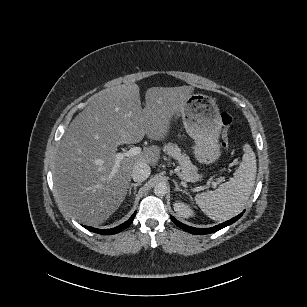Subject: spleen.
<instances>
[{
	"label": "spleen",
	"mask_w": 307,
	"mask_h": 307,
	"mask_svg": "<svg viewBox=\"0 0 307 307\" xmlns=\"http://www.w3.org/2000/svg\"><path fill=\"white\" fill-rule=\"evenodd\" d=\"M243 150L242 162L233 178L214 191L195 196L197 205L213 220L223 221L237 214L253 190L257 172L256 155L249 144H245Z\"/></svg>",
	"instance_id": "3e777b00"
}]
</instances>
